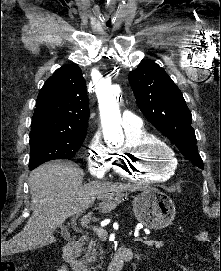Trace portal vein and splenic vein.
<instances>
[{"mask_svg":"<svg viewBox=\"0 0 221 271\" xmlns=\"http://www.w3.org/2000/svg\"><path fill=\"white\" fill-rule=\"evenodd\" d=\"M76 215H79V213H75V215H73V217H76ZM90 221V217H87V215H83V217H81L80 219V223L81 225H83V227H89L88 223ZM93 229H95V231H97L98 233V238H103L102 240L105 242L107 239L106 237V230L102 229L100 226L99 227H95V225H93ZM133 242H142L143 238L142 237H133Z\"/></svg>","mask_w":221,"mask_h":271,"instance_id":"18ae733b","label":"portal vein and splenic vein"}]
</instances>
